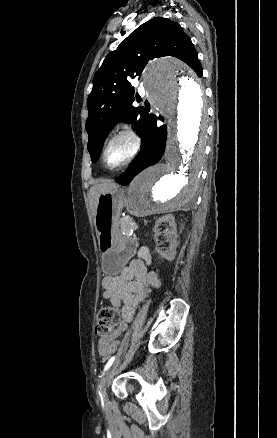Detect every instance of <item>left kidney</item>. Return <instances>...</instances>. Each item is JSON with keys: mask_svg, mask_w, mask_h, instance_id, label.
<instances>
[{"mask_svg": "<svg viewBox=\"0 0 277 438\" xmlns=\"http://www.w3.org/2000/svg\"><path fill=\"white\" fill-rule=\"evenodd\" d=\"M162 222H168V224L170 226L169 232H166V234H168V236H169L170 246H169L167 252H164L163 256H164L165 260H168V262H172V260H174V258L176 256V248L178 246V244H177V226L175 224V218H174V216H172V214H165V216H162V218H159V220H157V222L153 228L156 236H158V226H160V224H162Z\"/></svg>", "mask_w": 277, "mask_h": 438, "instance_id": "left-kidney-1", "label": "left kidney"}]
</instances>
